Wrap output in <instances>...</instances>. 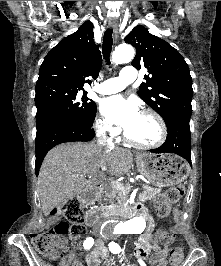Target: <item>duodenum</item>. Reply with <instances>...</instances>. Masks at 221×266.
Listing matches in <instances>:
<instances>
[{"label":"duodenum","instance_id":"obj_1","mask_svg":"<svg viewBox=\"0 0 221 266\" xmlns=\"http://www.w3.org/2000/svg\"><path fill=\"white\" fill-rule=\"evenodd\" d=\"M97 194L98 191L87 190L82 194L81 198L83 201H88L97 196ZM140 209L141 206L138 204H131L127 207H115L114 211H106V213L102 209H92L86 213L85 222L88 226H93L102 218H106L108 216H133Z\"/></svg>","mask_w":221,"mask_h":266}]
</instances>
